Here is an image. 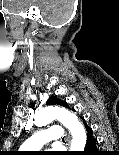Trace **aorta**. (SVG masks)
<instances>
[{"label": "aorta", "mask_w": 119, "mask_h": 155, "mask_svg": "<svg viewBox=\"0 0 119 155\" xmlns=\"http://www.w3.org/2000/svg\"><path fill=\"white\" fill-rule=\"evenodd\" d=\"M54 120H59L71 132V151H83L86 144V132L72 112L58 106L45 107L36 113L34 124L42 127Z\"/></svg>", "instance_id": "762f6f07"}]
</instances>
